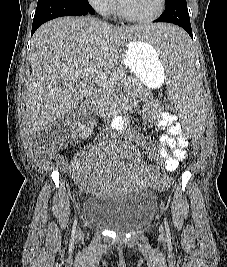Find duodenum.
<instances>
[{"label": "duodenum", "instance_id": "410a0bca", "mask_svg": "<svg viewBox=\"0 0 227 267\" xmlns=\"http://www.w3.org/2000/svg\"><path fill=\"white\" fill-rule=\"evenodd\" d=\"M95 96H96V90H95V88H93V87L88 88V89H87L86 97H87V100H88L91 104L93 103ZM94 112H95L96 114H102V113H103V109L100 108V107H95V108H94Z\"/></svg>", "mask_w": 227, "mask_h": 267}]
</instances>
